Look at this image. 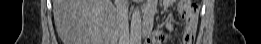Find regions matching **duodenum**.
<instances>
[{"mask_svg":"<svg viewBox=\"0 0 261 44\" xmlns=\"http://www.w3.org/2000/svg\"><path fill=\"white\" fill-rule=\"evenodd\" d=\"M152 24H153L152 18L148 15H145L143 18V28H142L143 34L145 36L150 35L152 30Z\"/></svg>","mask_w":261,"mask_h":44,"instance_id":"duodenum-1","label":"duodenum"}]
</instances>
